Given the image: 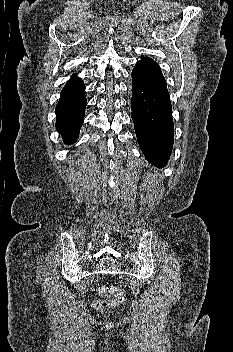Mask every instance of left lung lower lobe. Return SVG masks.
<instances>
[{"instance_id": "0a47b994", "label": "left lung lower lobe", "mask_w": 233, "mask_h": 352, "mask_svg": "<svg viewBox=\"0 0 233 352\" xmlns=\"http://www.w3.org/2000/svg\"><path fill=\"white\" fill-rule=\"evenodd\" d=\"M132 119L146 159L162 168L173 147L174 124L166 80L162 73L139 61L132 71Z\"/></svg>"}]
</instances>
